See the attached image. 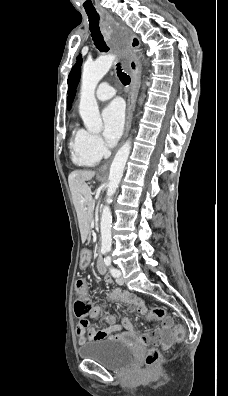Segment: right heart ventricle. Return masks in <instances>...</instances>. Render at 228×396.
<instances>
[{"label": "right heart ventricle", "instance_id": "e07e8e85", "mask_svg": "<svg viewBox=\"0 0 228 396\" xmlns=\"http://www.w3.org/2000/svg\"><path fill=\"white\" fill-rule=\"evenodd\" d=\"M70 147L73 161L81 166H95L100 157L94 154L87 145L84 130H76L71 138Z\"/></svg>", "mask_w": 228, "mask_h": 396}]
</instances>
